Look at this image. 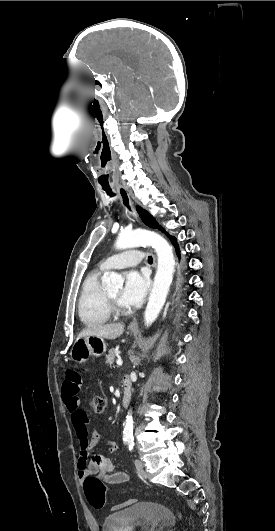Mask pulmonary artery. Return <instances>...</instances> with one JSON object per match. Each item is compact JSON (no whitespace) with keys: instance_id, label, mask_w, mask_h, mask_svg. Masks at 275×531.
I'll list each match as a JSON object with an SVG mask.
<instances>
[{"instance_id":"e3ab8cb5","label":"pulmonary artery","mask_w":275,"mask_h":531,"mask_svg":"<svg viewBox=\"0 0 275 531\" xmlns=\"http://www.w3.org/2000/svg\"><path fill=\"white\" fill-rule=\"evenodd\" d=\"M143 256H146V253H143V251L139 250L138 247L132 246L125 255L121 254L116 256L111 254L109 256V262L103 261L100 264V269L103 272H108L111 269V265H115L116 267H120V269L123 271L125 266L141 265L144 260ZM115 272H118V269H115Z\"/></svg>"}]
</instances>
